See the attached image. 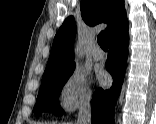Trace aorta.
I'll use <instances>...</instances> for the list:
<instances>
[{
    "instance_id": "762f6f07",
    "label": "aorta",
    "mask_w": 156,
    "mask_h": 124,
    "mask_svg": "<svg viewBox=\"0 0 156 124\" xmlns=\"http://www.w3.org/2000/svg\"><path fill=\"white\" fill-rule=\"evenodd\" d=\"M75 55L77 58H80L83 56V52L81 50V45L80 43H77L76 46H75Z\"/></svg>"
}]
</instances>
